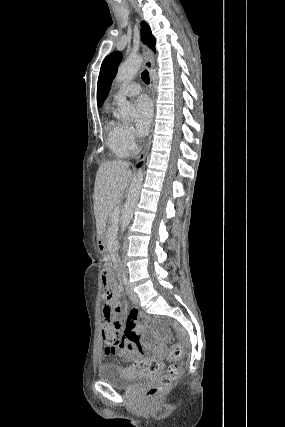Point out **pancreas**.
I'll return each mask as SVG.
<instances>
[{
	"mask_svg": "<svg viewBox=\"0 0 285 427\" xmlns=\"http://www.w3.org/2000/svg\"><path fill=\"white\" fill-rule=\"evenodd\" d=\"M115 229V219L113 218V212L110 214V228H109V235L112 236L113 231Z\"/></svg>",
	"mask_w": 285,
	"mask_h": 427,
	"instance_id": "1",
	"label": "pancreas"
}]
</instances>
